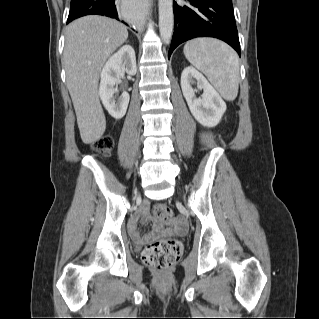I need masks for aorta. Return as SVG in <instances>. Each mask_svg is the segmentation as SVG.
I'll return each mask as SVG.
<instances>
[{
	"mask_svg": "<svg viewBox=\"0 0 319 319\" xmlns=\"http://www.w3.org/2000/svg\"><path fill=\"white\" fill-rule=\"evenodd\" d=\"M159 31L161 39L168 44L171 40L174 25L173 0H159Z\"/></svg>",
	"mask_w": 319,
	"mask_h": 319,
	"instance_id": "aorta-1",
	"label": "aorta"
}]
</instances>
